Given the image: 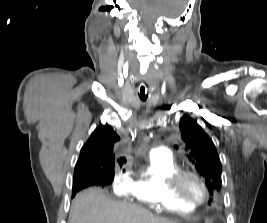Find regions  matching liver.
<instances>
[{"label":"liver","instance_id":"1","mask_svg":"<svg viewBox=\"0 0 267 223\" xmlns=\"http://www.w3.org/2000/svg\"><path fill=\"white\" fill-rule=\"evenodd\" d=\"M68 223H178L128 202L114 201L101 189L90 188L73 200Z\"/></svg>","mask_w":267,"mask_h":223}]
</instances>
